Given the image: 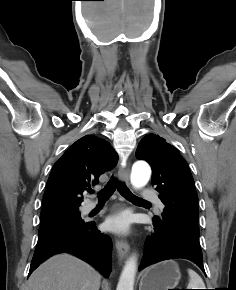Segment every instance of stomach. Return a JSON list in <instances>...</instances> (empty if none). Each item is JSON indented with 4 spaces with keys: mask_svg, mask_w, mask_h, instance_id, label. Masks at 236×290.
I'll list each match as a JSON object with an SVG mask.
<instances>
[{
    "mask_svg": "<svg viewBox=\"0 0 236 290\" xmlns=\"http://www.w3.org/2000/svg\"><path fill=\"white\" fill-rule=\"evenodd\" d=\"M181 278L175 261H163L148 268L142 275L139 290L175 289Z\"/></svg>",
    "mask_w": 236,
    "mask_h": 290,
    "instance_id": "stomach-1",
    "label": "stomach"
}]
</instances>
